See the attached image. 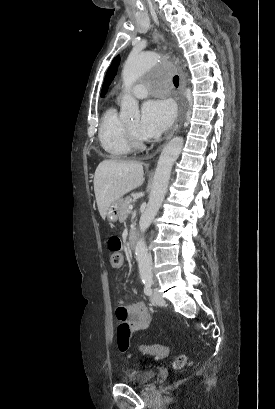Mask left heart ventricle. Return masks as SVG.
<instances>
[{
  "label": "left heart ventricle",
  "instance_id": "b2bd125f",
  "mask_svg": "<svg viewBox=\"0 0 275 409\" xmlns=\"http://www.w3.org/2000/svg\"><path fill=\"white\" fill-rule=\"evenodd\" d=\"M139 119H136L130 123H128V127L141 139L143 140H147V138L143 137L140 133H139Z\"/></svg>",
  "mask_w": 275,
  "mask_h": 409
}]
</instances>
